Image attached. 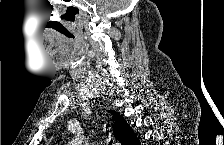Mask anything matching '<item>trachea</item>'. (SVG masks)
<instances>
[{"instance_id":"3493384b","label":"trachea","mask_w":224,"mask_h":145,"mask_svg":"<svg viewBox=\"0 0 224 145\" xmlns=\"http://www.w3.org/2000/svg\"><path fill=\"white\" fill-rule=\"evenodd\" d=\"M109 145H112V140H110Z\"/></svg>"}]
</instances>
